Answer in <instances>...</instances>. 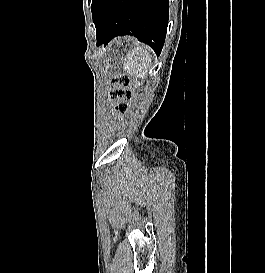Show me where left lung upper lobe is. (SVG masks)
<instances>
[{"mask_svg":"<svg viewBox=\"0 0 265 273\" xmlns=\"http://www.w3.org/2000/svg\"><path fill=\"white\" fill-rule=\"evenodd\" d=\"M92 17H93V22L95 23V26L96 27L100 26L103 23L105 18L104 10H100L99 8L92 7Z\"/></svg>","mask_w":265,"mask_h":273,"instance_id":"1","label":"left lung upper lobe"}]
</instances>
